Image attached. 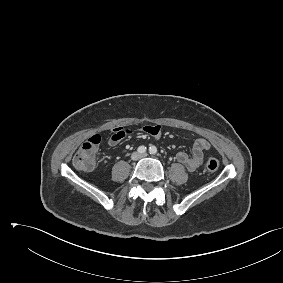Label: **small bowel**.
<instances>
[{
  "mask_svg": "<svg viewBox=\"0 0 283 283\" xmlns=\"http://www.w3.org/2000/svg\"><path fill=\"white\" fill-rule=\"evenodd\" d=\"M143 130L155 138L160 137L162 131L159 125L146 126ZM128 133L129 130H126L122 127H114L112 129L111 136L107 140L108 146H117ZM209 148L210 143L205 138H198L193 144L192 154L179 151L176 154V159L179 163L183 164L187 170L195 171L203 164L205 157L204 153Z\"/></svg>",
  "mask_w": 283,
  "mask_h": 283,
  "instance_id": "1",
  "label": "small bowel"
}]
</instances>
